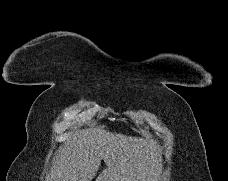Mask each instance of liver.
Masks as SVG:
<instances>
[{
    "instance_id": "6515ba94",
    "label": "liver",
    "mask_w": 228,
    "mask_h": 181,
    "mask_svg": "<svg viewBox=\"0 0 228 181\" xmlns=\"http://www.w3.org/2000/svg\"><path fill=\"white\" fill-rule=\"evenodd\" d=\"M101 161L107 169L99 181H158L162 173L160 149L152 141L96 127L65 141L48 181H93Z\"/></svg>"
}]
</instances>
